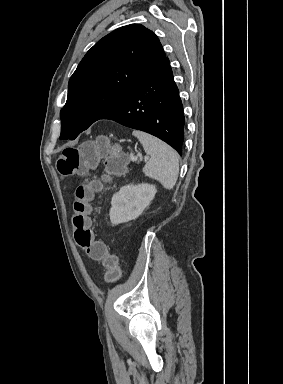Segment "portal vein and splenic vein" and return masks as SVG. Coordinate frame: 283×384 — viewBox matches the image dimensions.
I'll return each mask as SVG.
<instances>
[{
    "instance_id": "obj_1",
    "label": "portal vein and splenic vein",
    "mask_w": 283,
    "mask_h": 384,
    "mask_svg": "<svg viewBox=\"0 0 283 384\" xmlns=\"http://www.w3.org/2000/svg\"><path fill=\"white\" fill-rule=\"evenodd\" d=\"M131 160L132 162H137V158H134V156H132ZM144 160H149L148 156H145Z\"/></svg>"
}]
</instances>
